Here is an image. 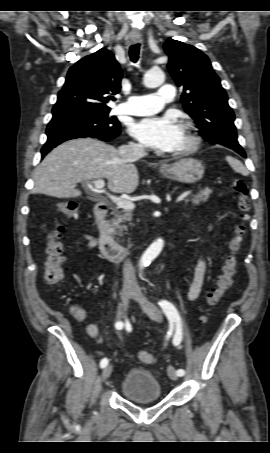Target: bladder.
I'll use <instances>...</instances> for the list:
<instances>
[{"label":"bladder","mask_w":270,"mask_h":453,"mask_svg":"<svg viewBox=\"0 0 270 453\" xmlns=\"http://www.w3.org/2000/svg\"><path fill=\"white\" fill-rule=\"evenodd\" d=\"M120 391L135 403H151L162 399L159 380L151 372L138 368H132L124 375Z\"/></svg>","instance_id":"bladder-1"}]
</instances>
